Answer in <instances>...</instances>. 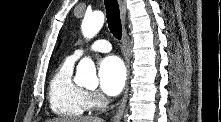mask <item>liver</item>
Segmentation results:
<instances>
[{"label": "liver", "mask_w": 221, "mask_h": 122, "mask_svg": "<svg viewBox=\"0 0 221 122\" xmlns=\"http://www.w3.org/2000/svg\"><path fill=\"white\" fill-rule=\"evenodd\" d=\"M48 122H104V120L99 117L88 116V117H82V118L81 117L80 118H76V117L54 118V119H50Z\"/></svg>", "instance_id": "obj_1"}]
</instances>
